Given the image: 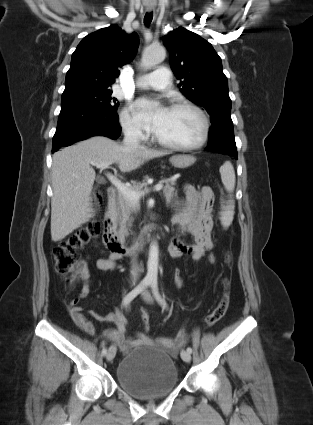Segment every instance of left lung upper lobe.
I'll list each match as a JSON object with an SVG mask.
<instances>
[{
  "label": "left lung upper lobe",
  "instance_id": "1",
  "mask_svg": "<svg viewBox=\"0 0 313 425\" xmlns=\"http://www.w3.org/2000/svg\"><path fill=\"white\" fill-rule=\"evenodd\" d=\"M163 43L170 53L173 73L180 80V91L207 110L213 126L233 124L228 81L212 45L183 27L169 32Z\"/></svg>",
  "mask_w": 313,
  "mask_h": 425
}]
</instances>
